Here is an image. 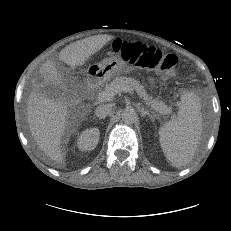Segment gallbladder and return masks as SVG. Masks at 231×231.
Segmentation results:
<instances>
[{"mask_svg": "<svg viewBox=\"0 0 231 231\" xmlns=\"http://www.w3.org/2000/svg\"><path fill=\"white\" fill-rule=\"evenodd\" d=\"M57 68L62 72L63 75L68 77V69L62 66L61 64H57ZM41 90L46 94L48 98L51 99H61L62 97L66 96V91L59 86L49 83L42 86Z\"/></svg>", "mask_w": 231, "mask_h": 231, "instance_id": "gallbladder-1", "label": "gallbladder"}]
</instances>
